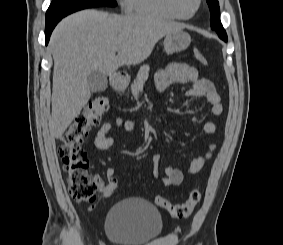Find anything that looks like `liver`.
<instances>
[{
  "mask_svg": "<svg viewBox=\"0 0 283 245\" xmlns=\"http://www.w3.org/2000/svg\"><path fill=\"white\" fill-rule=\"evenodd\" d=\"M182 28L175 22L93 9L64 18L49 43L54 59L51 98L54 136L61 138L88 103L91 92L87 80L93 70L111 77L123 65L139 64L149 57L158 40Z\"/></svg>",
  "mask_w": 283,
  "mask_h": 245,
  "instance_id": "6515ba94",
  "label": "liver"
}]
</instances>
